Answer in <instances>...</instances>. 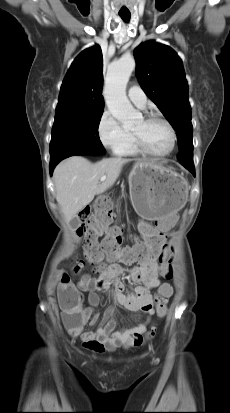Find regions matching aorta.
<instances>
[{"label": "aorta", "instance_id": "aorta-1", "mask_svg": "<svg viewBox=\"0 0 230 413\" xmlns=\"http://www.w3.org/2000/svg\"><path fill=\"white\" fill-rule=\"evenodd\" d=\"M135 69V60L131 56H123L112 63L108 69L104 97L106 105L114 118L124 126L134 124L136 119L142 118L126 96V85Z\"/></svg>", "mask_w": 230, "mask_h": 413}]
</instances>
